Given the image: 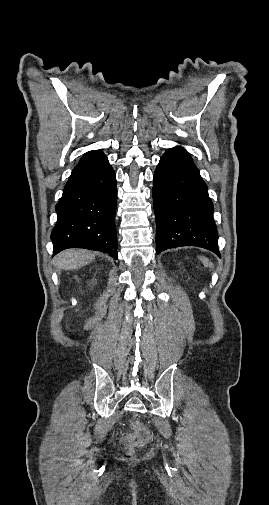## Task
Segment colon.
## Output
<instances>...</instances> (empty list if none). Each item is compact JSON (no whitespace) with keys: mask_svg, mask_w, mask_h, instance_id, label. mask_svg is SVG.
Masks as SVG:
<instances>
[{"mask_svg":"<svg viewBox=\"0 0 269 505\" xmlns=\"http://www.w3.org/2000/svg\"><path fill=\"white\" fill-rule=\"evenodd\" d=\"M133 427L135 428L136 433L133 434V435L128 436L125 439V443L129 447H133V446H137V445H142L148 439V437H147V435H146V433L144 431V428L139 423H134Z\"/></svg>","mask_w":269,"mask_h":505,"instance_id":"obj_1","label":"colon"}]
</instances>
